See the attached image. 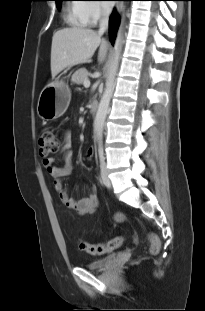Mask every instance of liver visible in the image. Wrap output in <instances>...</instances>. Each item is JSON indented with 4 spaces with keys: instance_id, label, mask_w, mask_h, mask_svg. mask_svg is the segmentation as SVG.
<instances>
[{
    "instance_id": "liver-1",
    "label": "liver",
    "mask_w": 205,
    "mask_h": 311,
    "mask_svg": "<svg viewBox=\"0 0 205 311\" xmlns=\"http://www.w3.org/2000/svg\"><path fill=\"white\" fill-rule=\"evenodd\" d=\"M100 46L98 61L102 62L107 44L101 34L89 28H64L54 33L51 46V74L55 77L63 69L90 59Z\"/></svg>"
}]
</instances>
